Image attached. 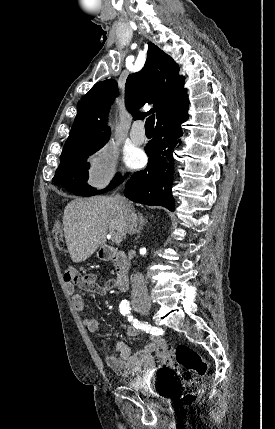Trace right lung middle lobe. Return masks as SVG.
Returning a JSON list of instances; mask_svg holds the SVG:
<instances>
[{"label": "right lung middle lobe", "mask_w": 275, "mask_h": 429, "mask_svg": "<svg viewBox=\"0 0 275 429\" xmlns=\"http://www.w3.org/2000/svg\"><path fill=\"white\" fill-rule=\"evenodd\" d=\"M98 150L99 149H96L88 151L82 155L61 159L53 181L63 185L69 191L78 196H93L96 194H101L119 185L123 181V177L120 174L116 175V177L106 189L98 192L96 189L86 184V181L89 177V163H87L86 160L89 155L95 153Z\"/></svg>", "instance_id": "right-lung-middle-lobe-1"}]
</instances>
